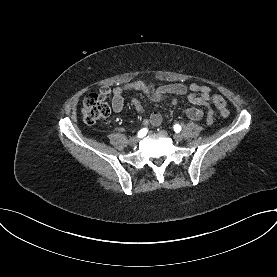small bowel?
<instances>
[{
  "label": "small bowel",
  "instance_id": "1",
  "mask_svg": "<svg viewBox=\"0 0 277 277\" xmlns=\"http://www.w3.org/2000/svg\"><path fill=\"white\" fill-rule=\"evenodd\" d=\"M99 92L112 96V109L117 114L123 113L124 94L127 92H142L145 97L154 102H162L171 98L174 104L176 103V96L187 95L191 104L202 106L208 111L207 122L208 124L212 123V89L206 85L172 83L155 87L141 80H136L118 86L113 90L102 87ZM132 105L139 113L143 114L145 112L142 103L138 99H132ZM183 112L192 120H200L204 114L203 110L198 107H187L183 109ZM162 119L163 117L159 112H153L143 119V123L157 127L161 124Z\"/></svg>",
  "mask_w": 277,
  "mask_h": 277
}]
</instances>
